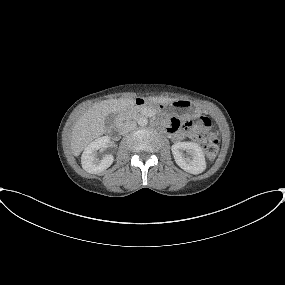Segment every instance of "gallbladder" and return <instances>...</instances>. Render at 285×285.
<instances>
[{"label":"gallbladder","mask_w":285,"mask_h":285,"mask_svg":"<svg viewBox=\"0 0 285 285\" xmlns=\"http://www.w3.org/2000/svg\"><path fill=\"white\" fill-rule=\"evenodd\" d=\"M115 118H116V115H115V114H113V113L108 114V115L105 117V125H106V126H111V125L114 123Z\"/></svg>","instance_id":"bac80fb5"}]
</instances>
